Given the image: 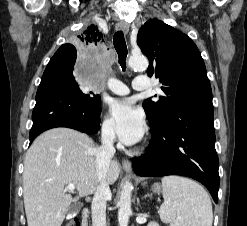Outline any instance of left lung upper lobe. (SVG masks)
<instances>
[{
  "label": "left lung upper lobe",
  "mask_w": 247,
  "mask_h": 226,
  "mask_svg": "<svg viewBox=\"0 0 247 226\" xmlns=\"http://www.w3.org/2000/svg\"><path fill=\"white\" fill-rule=\"evenodd\" d=\"M137 44L149 59L148 76L159 78L165 94L157 102L151 99L143 102L151 128L161 125L189 104L212 102L205 64L186 34L151 19L140 28Z\"/></svg>",
  "instance_id": "5c2ea615"
}]
</instances>
